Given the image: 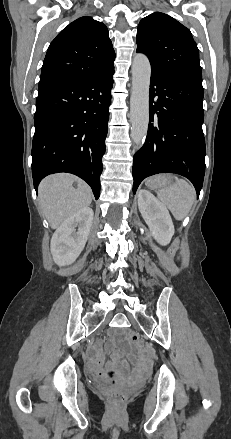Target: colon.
<instances>
[{"instance_id":"5ec220e1","label":"colon","mask_w":231,"mask_h":439,"mask_svg":"<svg viewBox=\"0 0 231 439\" xmlns=\"http://www.w3.org/2000/svg\"><path fill=\"white\" fill-rule=\"evenodd\" d=\"M176 246L177 242L174 244L172 249L175 250ZM129 338L134 344H139L141 342V337L137 332H131L129 334ZM108 397L110 402L114 405H120L127 398V392L120 387L119 381L115 378H113L111 381V388L109 390Z\"/></svg>"}]
</instances>
